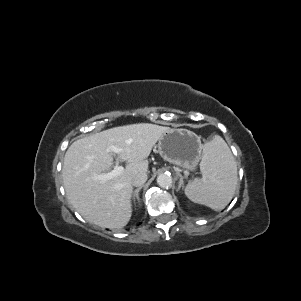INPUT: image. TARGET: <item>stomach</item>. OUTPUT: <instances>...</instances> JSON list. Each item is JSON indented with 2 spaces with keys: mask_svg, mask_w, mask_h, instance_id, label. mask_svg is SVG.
Wrapping results in <instances>:
<instances>
[{
  "mask_svg": "<svg viewBox=\"0 0 301 301\" xmlns=\"http://www.w3.org/2000/svg\"><path fill=\"white\" fill-rule=\"evenodd\" d=\"M201 138L185 128H169L158 140L161 157L170 163L195 170L202 157Z\"/></svg>",
  "mask_w": 301,
  "mask_h": 301,
  "instance_id": "1",
  "label": "stomach"
}]
</instances>
